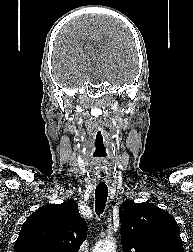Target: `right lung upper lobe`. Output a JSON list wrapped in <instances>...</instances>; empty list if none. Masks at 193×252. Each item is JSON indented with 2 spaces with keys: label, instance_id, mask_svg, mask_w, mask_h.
Here are the masks:
<instances>
[{
  "label": "right lung upper lobe",
  "instance_id": "cb5924a9",
  "mask_svg": "<svg viewBox=\"0 0 193 252\" xmlns=\"http://www.w3.org/2000/svg\"><path fill=\"white\" fill-rule=\"evenodd\" d=\"M86 234L76 202L48 204L24 222L14 252H78Z\"/></svg>",
  "mask_w": 193,
  "mask_h": 252
}]
</instances>
